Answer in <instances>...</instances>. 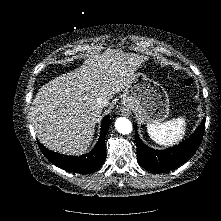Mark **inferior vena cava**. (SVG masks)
Wrapping results in <instances>:
<instances>
[{"label": "inferior vena cava", "mask_w": 221, "mask_h": 221, "mask_svg": "<svg viewBox=\"0 0 221 221\" xmlns=\"http://www.w3.org/2000/svg\"><path fill=\"white\" fill-rule=\"evenodd\" d=\"M96 102L100 106H107V104H108V101L106 99L101 98V97L97 98Z\"/></svg>", "instance_id": "inferior-vena-cava-1"}]
</instances>
